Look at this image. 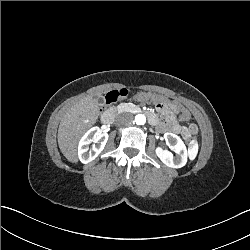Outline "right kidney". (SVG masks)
Instances as JSON below:
<instances>
[{"label": "right kidney", "mask_w": 250, "mask_h": 250, "mask_svg": "<svg viewBox=\"0 0 250 250\" xmlns=\"http://www.w3.org/2000/svg\"><path fill=\"white\" fill-rule=\"evenodd\" d=\"M96 131L95 133H93ZM108 141V134L102 133L98 127L88 130L81 138L78 145V157L81 163L87 164L93 161L104 149ZM93 142L92 149L89 150V144Z\"/></svg>", "instance_id": "obj_1"}]
</instances>
